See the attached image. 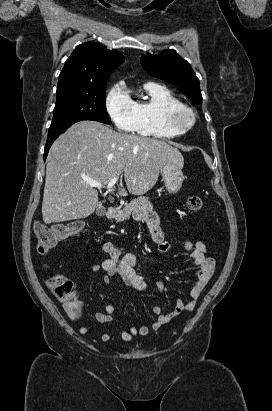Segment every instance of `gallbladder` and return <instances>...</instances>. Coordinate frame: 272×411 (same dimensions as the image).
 <instances>
[{"mask_svg":"<svg viewBox=\"0 0 272 411\" xmlns=\"http://www.w3.org/2000/svg\"><path fill=\"white\" fill-rule=\"evenodd\" d=\"M105 213H106L105 207L102 205V203H99V204L97 205V208H96V214H97L98 216H104Z\"/></svg>","mask_w":272,"mask_h":411,"instance_id":"obj_1","label":"gallbladder"}]
</instances>
